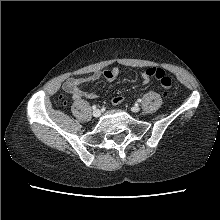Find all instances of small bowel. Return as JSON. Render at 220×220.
Listing matches in <instances>:
<instances>
[{"mask_svg": "<svg viewBox=\"0 0 220 220\" xmlns=\"http://www.w3.org/2000/svg\"><path fill=\"white\" fill-rule=\"evenodd\" d=\"M120 71L118 68L107 69L104 71H98L88 76L83 77H70L64 84L63 88L66 92L71 93L74 99L88 98L95 99L97 95L94 92L85 91L81 88V85L95 82L101 78L106 79L107 81H113L119 77ZM141 78L143 83L147 84L150 78L146 75L145 71L142 72ZM123 101L121 96L114 97L112 103L118 105Z\"/></svg>", "mask_w": 220, "mask_h": 220, "instance_id": "obj_1", "label": "small bowel"}]
</instances>
